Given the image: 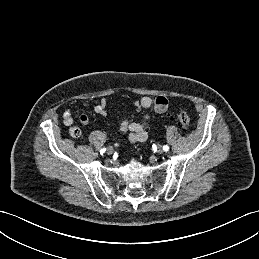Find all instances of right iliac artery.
<instances>
[{
    "label": "right iliac artery",
    "mask_w": 259,
    "mask_h": 259,
    "mask_svg": "<svg viewBox=\"0 0 259 259\" xmlns=\"http://www.w3.org/2000/svg\"><path fill=\"white\" fill-rule=\"evenodd\" d=\"M105 151H106V149H104V148L101 149V150H100V154H103Z\"/></svg>",
    "instance_id": "obj_1"
}]
</instances>
